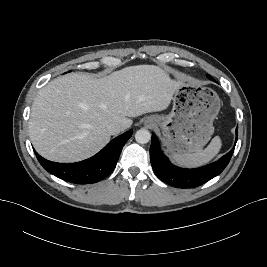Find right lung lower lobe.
<instances>
[{"instance_id": "right-lung-lower-lobe-1", "label": "right lung lower lobe", "mask_w": 267, "mask_h": 267, "mask_svg": "<svg viewBox=\"0 0 267 267\" xmlns=\"http://www.w3.org/2000/svg\"><path fill=\"white\" fill-rule=\"evenodd\" d=\"M131 135L128 131L116 137L95 156L77 163H55L44 159L36 152L35 154L43 168L60 179L77 184L95 183L112 173L122 148Z\"/></svg>"}]
</instances>
